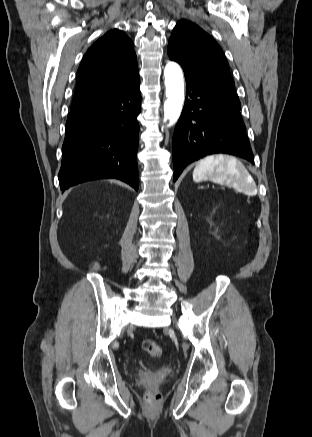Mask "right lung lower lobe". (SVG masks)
Listing matches in <instances>:
<instances>
[{"instance_id":"right-lung-lower-lobe-1","label":"right lung lower lobe","mask_w":312,"mask_h":437,"mask_svg":"<svg viewBox=\"0 0 312 437\" xmlns=\"http://www.w3.org/2000/svg\"><path fill=\"white\" fill-rule=\"evenodd\" d=\"M139 85L138 76L110 97L68 114L58 175L62 191L100 178L138 190Z\"/></svg>"}]
</instances>
